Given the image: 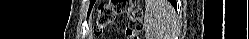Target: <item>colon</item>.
Segmentation results:
<instances>
[{
	"label": "colon",
	"instance_id": "5ec220e1",
	"mask_svg": "<svg viewBox=\"0 0 249 39\" xmlns=\"http://www.w3.org/2000/svg\"><path fill=\"white\" fill-rule=\"evenodd\" d=\"M128 14L129 23L127 27V35L136 39V35L142 28V8L140 2L136 0H110L101 3L98 7L96 23L94 26V34L99 36L110 25L118 15Z\"/></svg>",
	"mask_w": 249,
	"mask_h": 39
}]
</instances>
